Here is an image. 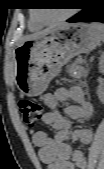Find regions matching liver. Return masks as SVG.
I'll use <instances>...</instances> for the list:
<instances>
[{
    "mask_svg": "<svg viewBox=\"0 0 104 169\" xmlns=\"http://www.w3.org/2000/svg\"><path fill=\"white\" fill-rule=\"evenodd\" d=\"M48 30H49V29H46V30H44V31H42V32H40V33L33 34V35L27 37L26 39H30V38L36 37V36H38V35H40V34L46 32V31H48Z\"/></svg>",
    "mask_w": 104,
    "mask_h": 169,
    "instance_id": "6515ba94",
    "label": "liver"
}]
</instances>
